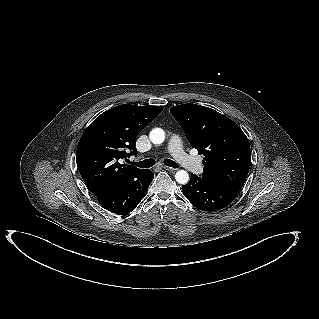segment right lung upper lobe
Wrapping results in <instances>:
<instances>
[{
    "label": "right lung upper lobe",
    "mask_w": 319,
    "mask_h": 319,
    "mask_svg": "<svg viewBox=\"0 0 319 319\" xmlns=\"http://www.w3.org/2000/svg\"><path fill=\"white\" fill-rule=\"evenodd\" d=\"M162 110L158 106L119 105L102 113L84 131L76 162L85 184L96 197L142 170L120 164L118 159L137 154V135Z\"/></svg>",
    "instance_id": "cb5924a9"
}]
</instances>
